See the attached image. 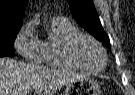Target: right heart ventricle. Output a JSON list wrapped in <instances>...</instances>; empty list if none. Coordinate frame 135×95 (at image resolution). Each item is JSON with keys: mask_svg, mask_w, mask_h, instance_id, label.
I'll return each instance as SVG.
<instances>
[{"mask_svg": "<svg viewBox=\"0 0 135 95\" xmlns=\"http://www.w3.org/2000/svg\"><path fill=\"white\" fill-rule=\"evenodd\" d=\"M78 29L65 18H55L48 24V35L42 41L41 62L51 68L73 69L75 66L68 63L61 54L65 41Z\"/></svg>", "mask_w": 135, "mask_h": 95, "instance_id": "obj_1", "label": "right heart ventricle"}]
</instances>
